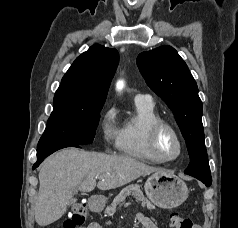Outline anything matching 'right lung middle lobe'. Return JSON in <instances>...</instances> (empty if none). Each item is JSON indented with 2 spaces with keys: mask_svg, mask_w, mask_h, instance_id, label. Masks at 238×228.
<instances>
[{
  "mask_svg": "<svg viewBox=\"0 0 238 228\" xmlns=\"http://www.w3.org/2000/svg\"><path fill=\"white\" fill-rule=\"evenodd\" d=\"M103 105L52 112L37 147L92 143Z\"/></svg>",
  "mask_w": 238,
  "mask_h": 228,
  "instance_id": "right-lung-middle-lobe-1",
  "label": "right lung middle lobe"
}]
</instances>
